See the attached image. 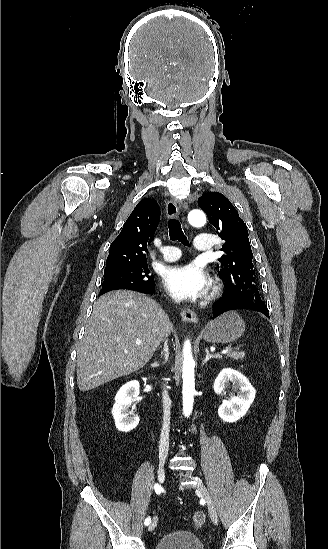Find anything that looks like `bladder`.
<instances>
[{"label": "bladder", "mask_w": 328, "mask_h": 549, "mask_svg": "<svg viewBox=\"0 0 328 549\" xmlns=\"http://www.w3.org/2000/svg\"><path fill=\"white\" fill-rule=\"evenodd\" d=\"M155 549H205L204 542L188 531H174L157 542Z\"/></svg>", "instance_id": "1"}]
</instances>
